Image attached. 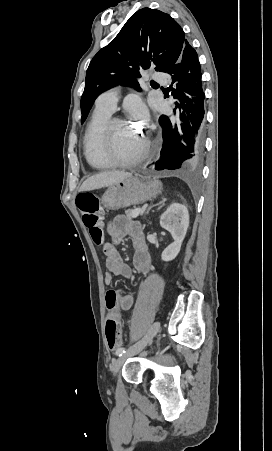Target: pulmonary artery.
I'll list each match as a JSON object with an SVG mask.
<instances>
[{"label": "pulmonary artery", "instance_id": "pulmonary-artery-1", "mask_svg": "<svg viewBox=\"0 0 272 451\" xmlns=\"http://www.w3.org/2000/svg\"><path fill=\"white\" fill-rule=\"evenodd\" d=\"M154 75L152 77H149L147 79V82L149 84H152L154 81L160 82V86L163 87V89L166 91L168 88L167 86V81L165 74L163 73L162 70H156L154 73ZM118 96H119V90L117 88L112 89L110 91H107L103 94H101L97 100H96V106L108 111H114L115 107H116V103L118 100Z\"/></svg>", "mask_w": 272, "mask_h": 451}]
</instances>
